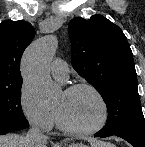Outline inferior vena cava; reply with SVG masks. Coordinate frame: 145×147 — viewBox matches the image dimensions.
<instances>
[{"label":"inferior vena cava","instance_id":"1","mask_svg":"<svg viewBox=\"0 0 145 147\" xmlns=\"http://www.w3.org/2000/svg\"><path fill=\"white\" fill-rule=\"evenodd\" d=\"M25 138L30 147H45L48 139L47 136L36 126L30 128Z\"/></svg>","mask_w":145,"mask_h":147}]
</instances>
